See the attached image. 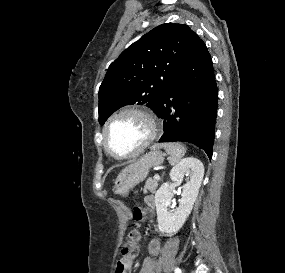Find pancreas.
Listing matches in <instances>:
<instances>
[{"mask_svg":"<svg viewBox=\"0 0 285 273\" xmlns=\"http://www.w3.org/2000/svg\"><path fill=\"white\" fill-rule=\"evenodd\" d=\"M157 186L158 180L149 178L144 185L143 192L145 194L148 192L155 193Z\"/></svg>","mask_w":285,"mask_h":273,"instance_id":"pancreas-1","label":"pancreas"}]
</instances>
